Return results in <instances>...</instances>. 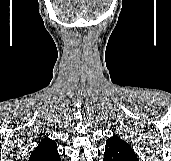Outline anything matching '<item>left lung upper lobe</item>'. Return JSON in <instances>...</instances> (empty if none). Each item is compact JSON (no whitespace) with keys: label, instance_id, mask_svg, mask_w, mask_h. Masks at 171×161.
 <instances>
[{"label":"left lung upper lobe","instance_id":"1","mask_svg":"<svg viewBox=\"0 0 171 161\" xmlns=\"http://www.w3.org/2000/svg\"><path fill=\"white\" fill-rule=\"evenodd\" d=\"M103 161H138V158L129 144L113 135L106 141Z\"/></svg>","mask_w":171,"mask_h":161}]
</instances>
